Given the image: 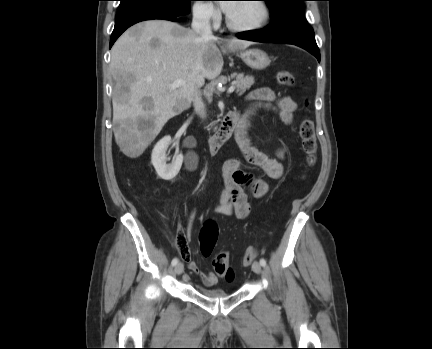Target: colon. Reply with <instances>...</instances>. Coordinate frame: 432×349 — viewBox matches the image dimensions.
<instances>
[{"mask_svg": "<svg viewBox=\"0 0 432 349\" xmlns=\"http://www.w3.org/2000/svg\"><path fill=\"white\" fill-rule=\"evenodd\" d=\"M277 82L282 86L290 87L294 84V77L291 72L281 70L276 75ZM299 136L301 139L302 149L306 155V160L309 166L316 162L317 154V139L315 134V127L313 121L305 117L299 127ZM218 237V229L215 223L207 222L200 233V249L204 256L211 255ZM182 243L183 240H180ZM257 257V250L254 247H249L244 253L242 259L243 266H249ZM213 268L218 276L221 278L232 281L234 278V271L230 262L229 254L221 252L217 254L212 261Z\"/></svg>", "mask_w": 432, "mask_h": 349, "instance_id": "5ec220e1", "label": "colon"}]
</instances>
